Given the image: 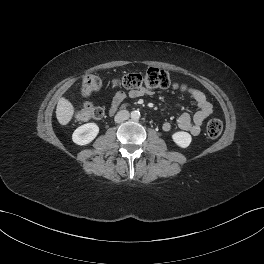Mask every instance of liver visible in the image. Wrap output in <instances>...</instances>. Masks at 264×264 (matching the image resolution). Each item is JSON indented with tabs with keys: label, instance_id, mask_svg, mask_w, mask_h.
Here are the masks:
<instances>
[{
	"label": "liver",
	"instance_id": "obj_1",
	"mask_svg": "<svg viewBox=\"0 0 264 264\" xmlns=\"http://www.w3.org/2000/svg\"><path fill=\"white\" fill-rule=\"evenodd\" d=\"M74 114V107L72 103L64 97L58 100L56 108V117L61 125H67Z\"/></svg>",
	"mask_w": 264,
	"mask_h": 264
}]
</instances>
